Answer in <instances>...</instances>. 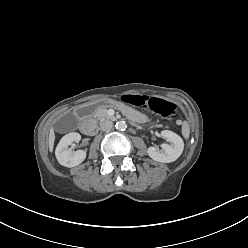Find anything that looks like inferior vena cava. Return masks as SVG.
Here are the masks:
<instances>
[{
  "label": "inferior vena cava",
  "mask_w": 248,
  "mask_h": 248,
  "mask_svg": "<svg viewBox=\"0 0 248 248\" xmlns=\"http://www.w3.org/2000/svg\"><path fill=\"white\" fill-rule=\"evenodd\" d=\"M112 126H113V123L110 120H105L100 123V128L104 131L110 130Z\"/></svg>",
  "instance_id": "obj_1"
}]
</instances>
